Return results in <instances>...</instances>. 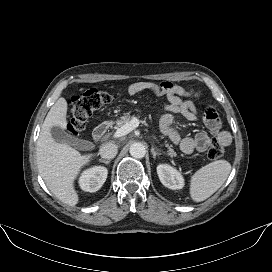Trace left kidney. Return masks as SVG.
I'll use <instances>...</instances> for the list:
<instances>
[{"label":"left kidney","mask_w":272,"mask_h":272,"mask_svg":"<svg viewBox=\"0 0 272 272\" xmlns=\"http://www.w3.org/2000/svg\"><path fill=\"white\" fill-rule=\"evenodd\" d=\"M157 174L161 183L169 189H182L185 185L184 178L181 173L176 168L168 164L158 165Z\"/></svg>","instance_id":"left-kidney-1"}]
</instances>
